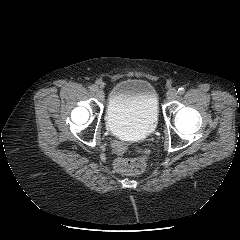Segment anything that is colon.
Masks as SVG:
<instances>
[{
    "label": "colon",
    "mask_w": 240,
    "mask_h": 240,
    "mask_svg": "<svg viewBox=\"0 0 240 240\" xmlns=\"http://www.w3.org/2000/svg\"><path fill=\"white\" fill-rule=\"evenodd\" d=\"M149 155V148H140L137 150V155L133 158H118L115 161L114 167L117 172L122 174H140L146 168Z\"/></svg>",
    "instance_id": "5ec220e1"
}]
</instances>
